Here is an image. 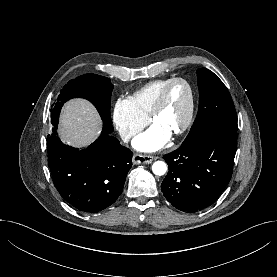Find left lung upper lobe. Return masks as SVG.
Returning a JSON list of instances; mask_svg holds the SVG:
<instances>
[{"label":"left lung upper lobe","instance_id":"left-lung-upper-lobe-1","mask_svg":"<svg viewBox=\"0 0 277 277\" xmlns=\"http://www.w3.org/2000/svg\"><path fill=\"white\" fill-rule=\"evenodd\" d=\"M199 110L193 126L183 143L212 130L237 132V115L231 96L223 82L210 70H197Z\"/></svg>","mask_w":277,"mask_h":277}]
</instances>
